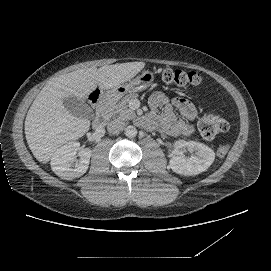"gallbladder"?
<instances>
[{
	"label": "gallbladder",
	"mask_w": 271,
	"mask_h": 271,
	"mask_svg": "<svg viewBox=\"0 0 271 271\" xmlns=\"http://www.w3.org/2000/svg\"><path fill=\"white\" fill-rule=\"evenodd\" d=\"M62 103L64 108L74 116L84 118L92 116L90 107L79 98L74 96L64 97Z\"/></svg>",
	"instance_id": "obj_1"
}]
</instances>
